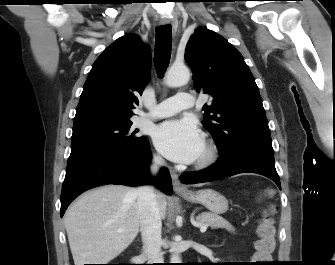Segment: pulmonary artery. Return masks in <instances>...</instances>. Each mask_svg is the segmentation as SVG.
<instances>
[{"mask_svg": "<svg viewBox=\"0 0 335 265\" xmlns=\"http://www.w3.org/2000/svg\"><path fill=\"white\" fill-rule=\"evenodd\" d=\"M193 105V96L190 93L181 92L157 104L146 114V117L152 119L168 117L184 109L191 108Z\"/></svg>", "mask_w": 335, "mask_h": 265, "instance_id": "e3ab8cb5", "label": "pulmonary artery"}]
</instances>
